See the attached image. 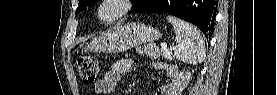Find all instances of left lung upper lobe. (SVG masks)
<instances>
[{"label": "left lung upper lobe", "mask_w": 277, "mask_h": 95, "mask_svg": "<svg viewBox=\"0 0 277 95\" xmlns=\"http://www.w3.org/2000/svg\"><path fill=\"white\" fill-rule=\"evenodd\" d=\"M98 0H79L78 8L76 14L85 10L88 6L94 4ZM148 0H133L134 5L131 8V11L136 12L140 9Z\"/></svg>", "instance_id": "5c2ea615"}]
</instances>
